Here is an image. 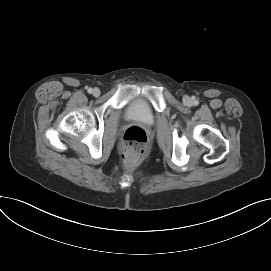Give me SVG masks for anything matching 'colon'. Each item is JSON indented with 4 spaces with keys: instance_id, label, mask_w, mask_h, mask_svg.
<instances>
[{
    "instance_id": "1",
    "label": "colon",
    "mask_w": 271,
    "mask_h": 271,
    "mask_svg": "<svg viewBox=\"0 0 271 271\" xmlns=\"http://www.w3.org/2000/svg\"><path fill=\"white\" fill-rule=\"evenodd\" d=\"M148 135L139 126L128 128L123 136V157L128 163L135 162L146 151Z\"/></svg>"
}]
</instances>
